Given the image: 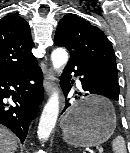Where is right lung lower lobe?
I'll return each mask as SVG.
<instances>
[{
	"instance_id": "98d812e1",
	"label": "right lung lower lobe",
	"mask_w": 130,
	"mask_h": 153,
	"mask_svg": "<svg viewBox=\"0 0 130 153\" xmlns=\"http://www.w3.org/2000/svg\"><path fill=\"white\" fill-rule=\"evenodd\" d=\"M35 84H31L30 81ZM43 94V74L39 66L30 70L0 76V124L25 140L28 127L36 116ZM11 98L16 107L3 101Z\"/></svg>"
}]
</instances>
